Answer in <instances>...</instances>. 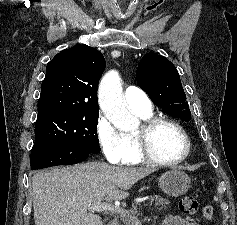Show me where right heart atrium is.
Segmentation results:
<instances>
[{
    "label": "right heart atrium",
    "mask_w": 237,
    "mask_h": 225,
    "mask_svg": "<svg viewBox=\"0 0 237 225\" xmlns=\"http://www.w3.org/2000/svg\"><path fill=\"white\" fill-rule=\"evenodd\" d=\"M95 132L101 150L110 163L127 162L132 152V145L106 116L100 115L98 117Z\"/></svg>",
    "instance_id": "1"
}]
</instances>
